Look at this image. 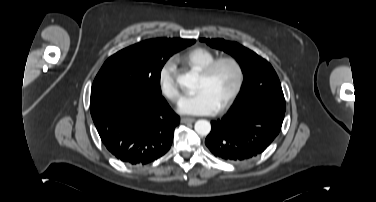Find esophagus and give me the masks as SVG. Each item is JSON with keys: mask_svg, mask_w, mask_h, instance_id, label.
Wrapping results in <instances>:
<instances>
[{"mask_svg": "<svg viewBox=\"0 0 376 202\" xmlns=\"http://www.w3.org/2000/svg\"><path fill=\"white\" fill-rule=\"evenodd\" d=\"M194 121H195L194 118H189V117H183V118L181 119V122H182V123H192V122H194Z\"/></svg>", "mask_w": 376, "mask_h": 202, "instance_id": "esophagus-1", "label": "esophagus"}]
</instances>
